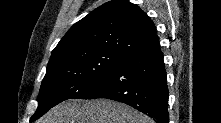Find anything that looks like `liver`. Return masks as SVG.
I'll use <instances>...</instances> for the list:
<instances>
[{
  "instance_id": "liver-1",
  "label": "liver",
  "mask_w": 221,
  "mask_h": 123,
  "mask_svg": "<svg viewBox=\"0 0 221 123\" xmlns=\"http://www.w3.org/2000/svg\"><path fill=\"white\" fill-rule=\"evenodd\" d=\"M38 123H153V120L111 100L74 99L55 106Z\"/></svg>"
}]
</instances>
